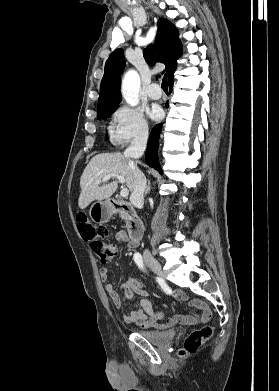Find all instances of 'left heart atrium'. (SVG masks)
<instances>
[{
    "mask_svg": "<svg viewBox=\"0 0 279 391\" xmlns=\"http://www.w3.org/2000/svg\"><path fill=\"white\" fill-rule=\"evenodd\" d=\"M162 115V110L159 106H153L150 110H149V116L154 119V120H157L161 117Z\"/></svg>",
    "mask_w": 279,
    "mask_h": 391,
    "instance_id": "obj_1",
    "label": "left heart atrium"
}]
</instances>
